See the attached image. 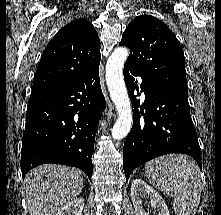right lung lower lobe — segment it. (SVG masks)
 Segmentation results:
<instances>
[{
    "label": "right lung lower lobe",
    "mask_w": 221,
    "mask_h": 215,
    "mask_svg": "<svg viewBox=\"0 0 221 215\" xmlns=\"http://www.w3.org/2000/svg\"><path fill=\"white\" fill-rule=\"evenodd\" d=\"M105 107L99 65L54 89L32 94L22 138L21 171L56 163L77 167L91 180L92 154Z\"/></svg>",
    "instance_id": "obj_1"
}]
</instances>
